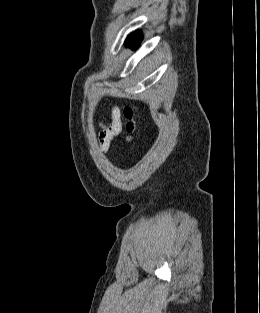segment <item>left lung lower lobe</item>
<instances>
[{
	"label": "left lung lower lobe",
	"instance_id": "obj_1",
	"mask_svg": "<svg viewBox=\"0 0 260 313\" xmlns=\"http://www.w3.org/2000/svg\"><path fill=\"white\" fill-rule=\"evenodd\" d=\"M141 40V32L136 31L133 34H130L126 40L128 45L138 46L139 42Z\"/></svg>",
	"mask_w": 260,
	"mask_h": 313
}]
</instances>
